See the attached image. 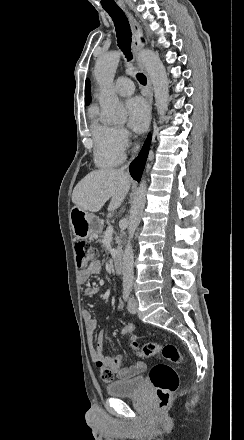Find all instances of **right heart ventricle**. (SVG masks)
<instances>
[{
    "label": "right heart ventricle",
    "instance_id": "right-heart-ventricle-1",
    "mask_svg": "<svg viewBox=\"0 0 244 440\" xmlns=\"http://www.w3.org/2000/svg\"><path fill=\"white\" fill-rule=\"evenodd\" d=\"M90 135L94 137L95 153L94 160L97 166L101 168H112L119 165L124 154L122 150H108L106 141L111 136L112 128L99 118V108L96 104H92L88 109Z\"/></svg>",
    "mask_w": 244,
    "mask_h": 440
}]
</instances>
